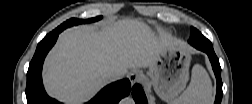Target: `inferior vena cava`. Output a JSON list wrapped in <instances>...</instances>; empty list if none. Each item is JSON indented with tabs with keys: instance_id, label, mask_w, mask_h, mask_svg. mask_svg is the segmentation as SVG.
<instances>
[{
	"instance_id": "inferior-vena-cava-1",
	"label": "inferior vena cava",
	"mask_w": 252,
	"mask_h": 104,
	"mask_svg": "<svg viewBox=\"0 0 252 104\" xmlns=\"http://www.w3.org/2000/svg\"><path fill=\"white\" fill-rule=\"evenodd\" d=\"M105 76L110 80H118L124 76V73L121 71L110 70L105 73Z\"/></svg>"
}]
</instances>
